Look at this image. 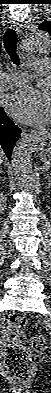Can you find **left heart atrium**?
I'll use <instances>...</instances> for the list:
<instances>
[{"mask_svg":"<svg viewBox=\"0 0 51 393\" xmlns=\"http://www.w3.org/2000/svg\"><path fill=\"white\" fill-rule=\"evenodd\" d=\"M7 110L12 117L23 123L46 124L51 117L50 97L33 87H26L8 97Z\"/></svg>","mask_w":51,"mask_h":393,"instance_id":"39dd6f15","label":"left heart atrium"}]
</instances>
